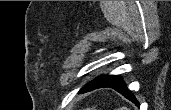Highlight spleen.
<instances>
[{
	"instance_id": "obj_1",
	"label": "spleen",
	"mask_w": 171,
	"mask_h": 110,
	"mask_svg": "<svg viewBox=\"0 0 171 110\" xmlns=\"http://www.w3.org/2000/svg\"><path fill=\"white\" fill-rule=\"evenodd\" d=\"M119 110H129L127 107L123 106L121 108H119Z\"/></svg>"
}]
</instances>
